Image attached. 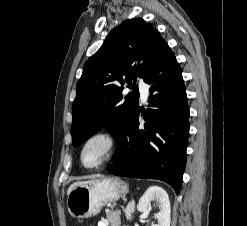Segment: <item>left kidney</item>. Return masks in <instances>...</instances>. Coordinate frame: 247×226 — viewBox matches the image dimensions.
Here are the masks:
<instances>
[{"instance_id": "5707ae66", "label": "left kidney", "mask_w": 247, "mask_h": 226, "mask_svg": "<svg viewBox=\"0 0 247 226\" xmlns=\"http://www.w3.org/2000/svg\"><path fill=\"white\" fill-rule=\"evenodd\" d=\"M152 201L159 203V212L155 214L158 224L155 226H170L171 207L167 192L158 186L149 187L139 199L138 211L148 213Z\"/></svg>"}]
</instances>
